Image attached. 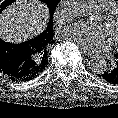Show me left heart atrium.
<instances>
[{
  "instance_id": "39dd6f15",
  "label": "left heart atrium",
  "mask_w": 118,
  "mask_h": 118,
  "mask_svg": "<svg viewBox=\"0 0 118 118\" xmlns=\"http://www.w3.org/2000/svg\"><path fill=\"white\" fill-rule=\"evenodd\" d=\"M66 39L88 51L104 50L113 43V37L106 26L78 22L63 31Z\"/></svg>"
}]
</instances>
